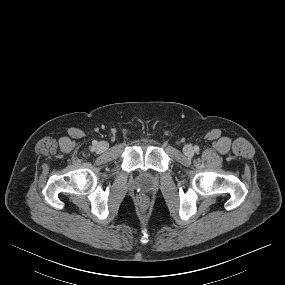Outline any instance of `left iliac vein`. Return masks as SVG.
Returning a JSON list of instances; mask_svg holds the SVG:
<instances>
[{
  "label": "left iliac vein",
  "instance_id": "left-iliac-vein-1",
  "mask_svg": "<svg viewBox=\"0 0 285 285\" xmlns=\"http://www.w3.org/2000/svg\"><path fill=\"white\" fill-rule=\"evenodd\" d=\"M183 152L187 156H191L194 153L193 147L191 145H185L183 147Z\"/></svg>",
  "mask_w": 285,
  "mask_h": 285
}]
</instances>
